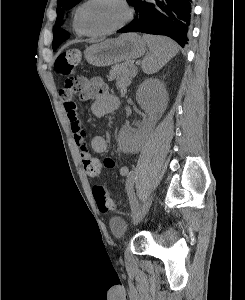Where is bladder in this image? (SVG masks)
<instances>
[{
  "instance_id": "bladder-1",
  "label": "bladder",
  "mask_w": 245,
  "mask_h": 300,
  "mask_svg": "<svg viewBox=\"0 0 245 300\" xmlns=\"http://www.w3.org/2000/svg\"><path fill=\"white\" fill-rule=\"evenodd\" d=\"M109 226L112 234L116 237H122L129 230L128 222L119 216H114L109 221Z\"/></svg>"
}]
</instances>
